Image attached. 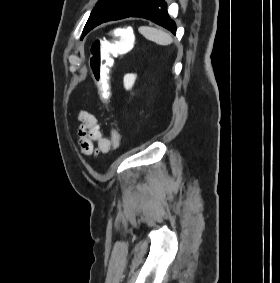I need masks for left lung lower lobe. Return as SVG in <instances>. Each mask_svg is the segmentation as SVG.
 Returning <instances> with one entry per match:
<instances>
[{
    "instance_id": "1",
    "label": "left lung lower lobe",
    "mask_w": 280,
    "mask_h": 283,
    "mask_svg": "<svg viewBox=\"0 0 280 283\" xmlns=\"http://www.w3.org/2000/svg\"><path fill=\"white\" fill-rule=\"evenodd\" d=\"M128 17H141L151 20L152 22L166 28L173 34H176V24L169 16L167 12V4L164 0H146L141 7H139ZM123 18L127 17H117L107 21L119 20Z\"/></svg>"
}]
</instances>
